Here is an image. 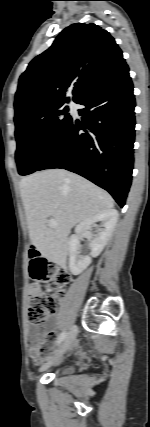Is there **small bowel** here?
Returning <instances> with one entry per match:
<instances>
[{
  "label": "small bowel",
  "mask_w": 150,
  "mask_h": 427,
  "mask_svg": "<svg viewBox=\"0 0 150 427\" xmlns=\"http://www.w3.org/2000/svg\"><path fill=\"white\" fill-rule=\"evenodd\" d=\"M54 321L50 320L43 326L42 329L33 328L30 332L31 346L28 354L30 358L36 359V363H40L42 358L48 353L53 342L52 328Z\"/></svg>",
  "instance_id": "c3829d8e"
}]
</instances>
